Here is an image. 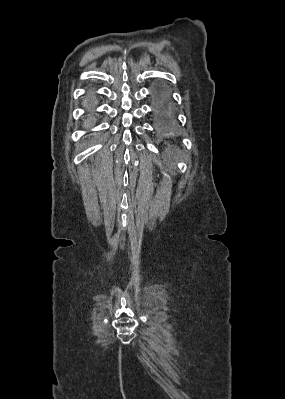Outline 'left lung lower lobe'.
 Segmentation results:
<instances>
[{
    "label": "left lung lower lobe",
    "instance_id": "1",
    "mask_svg": "<svg viewBox=\"0 0 285 399\" xmlns=\"http://www.w3.org/2000/svg\"><path fill=\"white\" fill-rule=\"evenodd\" d=\"M156 117L159 131L165 136L175 135V129L170 117V109L167 97L163 91H158L155 95Z\"/></svg>",
    "mask_w": 285,
    "mask_h": 399
}]
</instances>
